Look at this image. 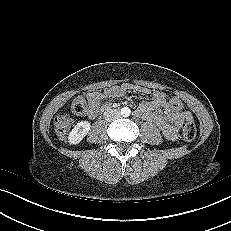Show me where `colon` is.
I'll use <instances>...</instances> for the list:
<instances>
[{
	"label": "colon",
	"mask_w": 231,
	"mask_h": 231,
	"mask_svg": "<svg viewBox=\"0 0 231 231\" xmlns=\"http://www.w3.org/2000/svg\"><path fill=\"white\" fill-rule=\"evenodd\" d=\"M170 104L174 109L181 110L183 108L182 101L173 97L170 100ZM73 112L76 114H84L87 111V105L83 98H76L71 105ZM72 120L68 115H58L54 119V130L60 138H65L68 134ZM182 137L186 141H192L196 136V126L192 120H186L182 123L181 127Z\"/></svg>",
	"instance_id": "5ec220e1"
}]
</instances>
